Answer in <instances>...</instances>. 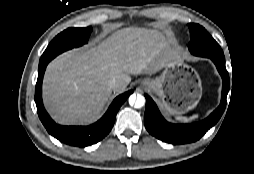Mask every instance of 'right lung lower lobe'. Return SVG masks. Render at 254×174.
<instances>
[{
	"label": "right lung lower lobe",
	"instance_id": "right-lung-lower-lobe-1",
	"mask_svg": "<svg viewBox=\"0 0 254 174\" xmlns=\"http://www.w3.org/2000/svg\"><path fill=\"white\" fill-rule=\"evenodd\" d=\"M47 64L48 63H45L38 68L35 103L37 106L38 116L48 133L62 143L77 147H86L102 140L111 131L119 108L133 91L131 90L125 92L124 94L116 97L104 116L90 126L58 125L47 114L41 97L42 80Z\"/></svg>",
	"mask_w": 254,
	"mask_h": 174
}]
</instances>
